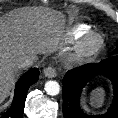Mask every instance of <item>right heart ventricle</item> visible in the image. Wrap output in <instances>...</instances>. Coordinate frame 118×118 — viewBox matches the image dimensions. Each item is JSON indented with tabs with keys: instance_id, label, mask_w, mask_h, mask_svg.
<instances>
[{
	"instance_id": "1",
	"label": "right heart ventricle",
	"mask_w": 118,
	"mask_h": 118,
	"mask_svg": "<svg viewBox=\"0 0 118 118\" xmlns=\"http://www.w3.org/2000/svg\"><path fill=\"white\" fill-rule=\"evenodd\" d=\"M91 31V26L88 24L77 25L70 34V41H77L83 38L87 33Z\"/></svg>"
}]
</instances>
